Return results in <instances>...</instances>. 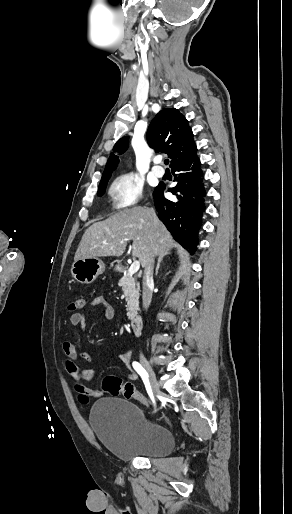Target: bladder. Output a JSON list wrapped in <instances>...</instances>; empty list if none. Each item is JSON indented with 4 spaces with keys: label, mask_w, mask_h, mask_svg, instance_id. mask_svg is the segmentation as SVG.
<instances>
[{
    "label": "bladder",
    "mask_w": 292,
    "mask_h": 514,
    "mask_svg": "<svg viewBox=\"0 0 292 514\" xmlns=\"http://www.w3.org/2000/svg\"><path fill=\"white\" fill-rule=\"evenodd\" d=\"M89 423L99 442L121 461L161 457L175 445L171 429L128 400H98L90 410Z\"/></svg>",
    "instance_id": "obj_1"
}]
</instances>
